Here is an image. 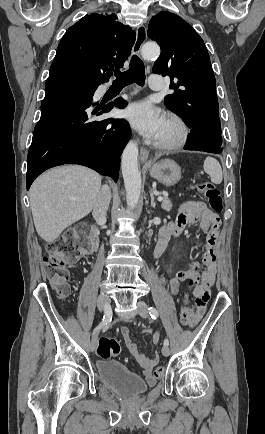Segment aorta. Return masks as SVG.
<instances>
[{
	"label": "aorta",
	"instance_id": "1",
	"mask_svg": "<svg viewBox=\"0 0 265 434\" xmlns=\"http://www.w3.org/2000/svg\"><path fill=\"white\" fill-rule=\"evenodd\" d=\"M160 48L157 44H144L141 48V56L144 60L157 58ZM124 186L126 190V202L129 208H135L141 194V174L138 168V146L131 140L128 142L121 162Z\"/></svg>",
	"mask_w": 265,
	"mask_h": 434
}]
</instances>
